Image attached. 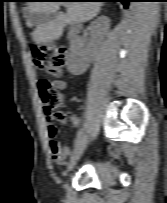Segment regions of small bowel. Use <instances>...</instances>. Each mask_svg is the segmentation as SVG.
<instances>
[{"mask_svg":"<svg viewBox=\"0 0 167 203\" xmlns=\"http://www.w3.org/2000/svg\"><path fill=\"white\" fill-rule=\"evenodd\" d=\"M56 86L58 88H64L65 83L58 81L56 82ZM71 123L74 127H78L80 120L78 117L74 116L71 119ZM47 131H48V136H49V149L52 154V158L60 165H63L65 162V159L70 155L72 149L69 146H61L57 141H56V134L57 130L56 127L54 126V123L51 121V119L47 118Z\"/></svg>","mask_w":167,"mask_h":203,"instance_id":"c3829d8e","label":"small bowel"}]
</instances>
